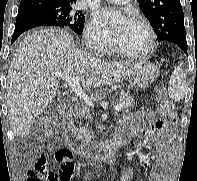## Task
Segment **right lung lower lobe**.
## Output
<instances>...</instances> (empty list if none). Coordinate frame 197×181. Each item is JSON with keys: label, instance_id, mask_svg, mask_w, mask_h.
<instances>
[{"label": "right lung lower lobe", "instance_id": "98d812e1", "mask_svg": "<svg viewBox=\"0 0 197 181\" xmlns=\"http://www.w3.org/2000/svg\"><path fill=\"white\" fill-rule=\"evenodd\" d=\"M37 26L61 27L57 19L44 12L34 8L19 7L11 43H13L23 32Z\"/></svg>", "mask_w": 197, "mask_h": 181}]
</instances>
